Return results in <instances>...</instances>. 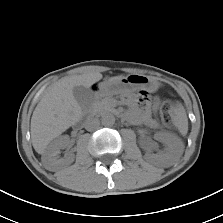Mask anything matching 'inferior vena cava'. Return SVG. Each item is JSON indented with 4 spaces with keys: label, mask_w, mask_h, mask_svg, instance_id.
Wrapping results in <instances>:
<instances>
[{
    "label": "inferior vena cava",
    "mask_w": 223,
    "mask_h": 223,
    "mask_svg": "<svg viewBox=\"0 0 223 223\" xmlns=\"http://www.w3.org/2000/svg\"><path fill=\"white\" fill-rule=\"evenodd\" d=\"M99 125H100V121L98 118H89L85 122V128L88 131L97 129Z\"/></svg>",
    "instance_id": "1"
}]
</instances>
